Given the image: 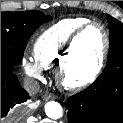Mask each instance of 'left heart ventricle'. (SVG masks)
<instances>
[{"mask_svg":"<svg viewBox=\"0 0 123 123\" xmlns=\"http://www.w3.org/2000/svg\"><path fill=\"white\" fill-rule=\"evenodd\" d=\"M104 44L102 31L89 27L79 38L74 50L72 69L78 76L87 75L94 67Z\"/></svg>","mask_w":123,"mask_h":123,"instance_id":"obj_1","label":"left heart ventricle"}]
</instances>
